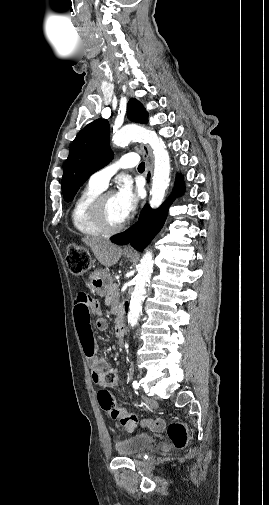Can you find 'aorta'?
Returning a JSON list of instances; mask_svg holds the SVG:
<instances>
[{
	"label": "aorta",
	"mask_w": 269,
	"mask_h": 505,
	"mask_svg": "<svg viewBox=\"0 0 269 505\" xmlns=\"http://www.w3.org/2000/svg\"><path fill=\"white\" fill-rule=\"evenodd\" d=\"M132 140L144 141L148 143L153 150L154 174L150 191V205L152 208H158L162 204L165 192L169 186V153L166 150L164 142L154 131L138 125H128L123 127L113 136L112 139L113 144L116 146H125ZM152 258V252L147 250L140 261L138 273L135 277V286L132 293L128 313V323L131 327H134L137 324L138 318L142 311V303L146 294V287L153 272Z\"/></svg>",
	"instance_id": "obj_1"
}]
</instances>
